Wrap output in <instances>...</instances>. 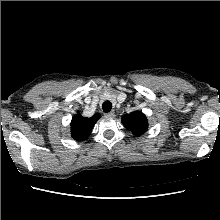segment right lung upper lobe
Masks as SVG:
<instances>
[{
  "instance_id": "obj_1",
  "label": "right lung upper lobe",
  "mask_w": 220,
  "mask_h": 220,
  "mask_svg": "<svg viewBox=\"0 0 220 220\" xmlns=\"http://www.w3.org/2000/svg\"><path fill=\"white\" fill-rule=\"evenodd\" d=\"M99 118V114H95L91 118L82 117L79 114L75 115L71 122L72 138H74L77 141L86 140Z\"/></svg>"
}]
</instances>
